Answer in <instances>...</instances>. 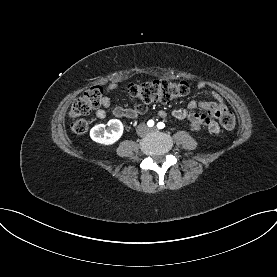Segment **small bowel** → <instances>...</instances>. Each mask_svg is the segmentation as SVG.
Listing matches in <instances>:
<instances>
[{
    "label": "small bowel",
    "instance_id": "small-bowel-1",
    "mask_svg": "<svg viewBox=\"0 0 277 277\" xmlns=\"http://www.w3.org/2000/svg\"><path fill=\"white\" fill-rule=\"evenodd\" d=\"M208 86L205 82H199L197 88L200 90L206 89ZM118 89L116 83H111L107 86V93L114 92ZM211 95L215 101H196L189 102L186 108L175 109L172 111L171 116L180 121H187L194 130H200L201 128L208 129L209 132L217 134L220 131V126L215 118H218L224 111L227 110V106L222 96L215 90H211ZM106 109H111V114L117 118H129L138 119L147 110V104L141 103L134 107H122L111 106L110 98L105 96L101 104ZM198 110H204L205 113H201ZM96 116L100 119H104L107 113L104 109H97ZM158 115L162 118L168 117L166 111L160 110Z\"/></svg>",
    "mask_w": 277,
    "mask_h": 277
}]
</instances>
